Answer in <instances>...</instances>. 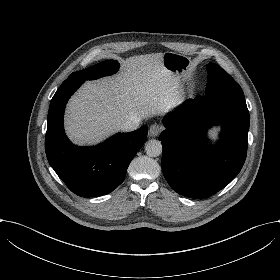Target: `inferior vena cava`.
I'll return each mask as SVG.
<instances>
[{
  "instance_id": "602c4592",
  "label": "inferior vena cava",
  "mask_w": 280,
  "mask_h": 280,
  "mask_svg": "<svg viewBox=\"0 0 280 280\" xmlns=\"http://www.w3.org/2000/svg\"><path fill=\"white\" fill-rule=\"evenodd\" d=\"M141 119L137 116H132L130 120L122 124L121 130L123 131H133L139 127Z\"/></svg>"
}]
</instances>
